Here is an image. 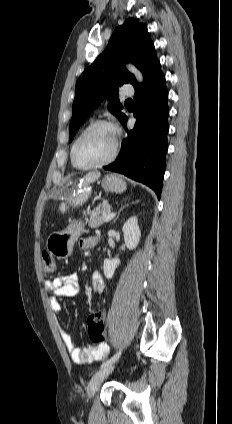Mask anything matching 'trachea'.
Masks as SVG:
<instances>
[{"label": "trachea", "mask_w": 232, "mask_h": 424, "mask_svg": "<svg viewBox=\"0 0 232 424\" xmlns=\"http://www.w3.org/2000/svg\"><path fill=\"white\" fill-rule=\"evenodd\" d=\"M133 101L131 100V99H127L126 101H125V103H132Z\"/></svg>", "instance_id": "1"}]
</instances>
